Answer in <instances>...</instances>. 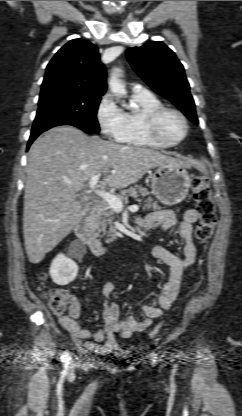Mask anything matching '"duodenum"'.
Masks as SVG:
<instances>
[{
    "mask_svg": "<svg viewBox=\"0 0 242 416\" xmlns=\"http://www.w3.org/2000/svg\"><path fill=\"white\" fill-rule=\"evenodd\" d=\"M96 202H90L85 212L79 217L75 225L77 237L88 246L90 251L96 256H104L110 250V245L101 241L92 231L90 218L96 211Z\"/></svg>",
    "mask_w": 242,
    "mask_h": 416,
    "instance_id": "410a0bca",
    "label": "duodenum"
}]
</instances>
